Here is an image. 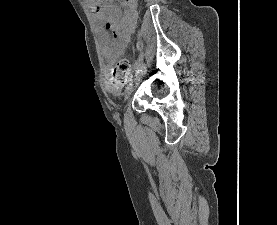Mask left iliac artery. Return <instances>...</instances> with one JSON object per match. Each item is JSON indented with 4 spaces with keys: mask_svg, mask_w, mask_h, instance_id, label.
Wrapping results in <instances>:
<instances>
[{
    "mask_svg": "<svg viewBox=\"0 0 277 225\" xmlns=\"http://www.w3.org/2000/svg\"><path fill=\"white\" fill-rule=\"evenodd\" d=\"M143 59H144V55L141 52L140 55H139V59H138L137 65H136V69H135V74L136 75L139 74L142 71Z\"/></svg>",
    "mask_w": 277,
    "mask_h": 225,
    "instance_id": "left-iliac-artery-1",
    "label": "left iliac artery"
}]
</instances>
